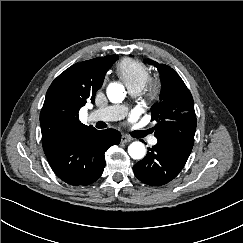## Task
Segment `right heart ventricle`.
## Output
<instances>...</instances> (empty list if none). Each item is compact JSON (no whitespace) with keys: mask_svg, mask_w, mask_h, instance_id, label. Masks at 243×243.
Masks as SVG:
<instances>
[{"mask_svg":"<svg viewBox=\"0 0 243 243\" xmlns=\"http://www.w3.org/2000/svg\"><path fill=\"white\" fill-rule=\"evenodd\" d=\"M117 73L129 90H142L151 79L149 68L142 62L126 58L117 65Z\"/></svg>","mask_w":243,"mask_h":243,"instance_id":"e07e8e85","label":"right heart ventricle"}]
</instances>
